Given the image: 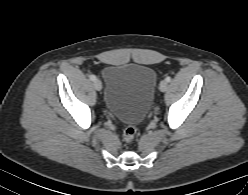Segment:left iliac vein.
I'll use <instances>...</instances> for the list:
<instances>
[{
  "label": "left iliac vein",
  "mask_w": 248,
  "mask_h": 195,
  "mask_svg": "<svg viewBox=\"0 0 248 195\" xmlns=\"http://www.w3.org/2000/svg\"><path fill=\"white\" fill-rule=\"evenodd\" d=\"M167 87H168L167 81L163 80V81L160 82V84H159V89H160L162 92L166 91V90H167Z\"/></svg>",
  "instance_id": "4c4485c4"
}]
</instances>
